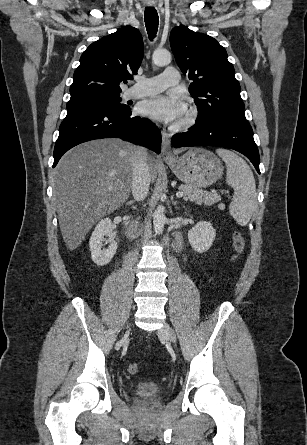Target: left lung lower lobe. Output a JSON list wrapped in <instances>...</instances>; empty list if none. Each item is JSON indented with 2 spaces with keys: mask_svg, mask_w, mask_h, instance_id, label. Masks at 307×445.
<instances>
[{
  "mask_svg": "<svg viewBox=\"0 0 307 445\" xmlns=\"http://www.w3.org/2000/svg\"><path fill=\"white\" fill-rule=\"evenodd\" d=\"M172 144L175 148L207 145L231 148L248 157L260 173L258 148L246 119L221 117L198 123L192 130L174 135Z\"/></svg>",
  "mask_w": 307,
  "mask_h": 445,
  "instance_id": "1",
  "label": "left lung lower lobe"
}]
</instances>
